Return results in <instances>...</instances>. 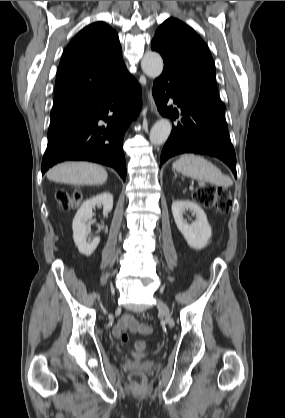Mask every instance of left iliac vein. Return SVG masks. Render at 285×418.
<instances>
[{"label": "left iliac vein", "instance_id": "obj_1", "mask_svg": "<svg viewBox=\"0 0 285 418\" xmlns=\"http://www.w3.org/2000/svg\"><path fill=\"white\" fill-rule=\"evenodd\" d=\"M157 307H158L159 311L163 314L165 319L167 321H170L171 320V314H170L168 306L162 300H158Z\"/></svg>", "mask_w": 285, "mask_h": 418}]
</instances>
